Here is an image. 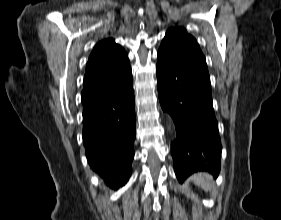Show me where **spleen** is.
Returning a JSON list of instances; mask_svg holds the SVG:
<instances>
[{
    "mask_svg": "<svg viewBox=\"0 0 281 220\" xmlns=\"http://www.w3.org/2000/svg\"><path fill=\"white\" fill-rule=\"evenodd\" d=\"M194 184L200 186L205 191H212L214 185L212 183V178L208 173H196L191 177Z\"/></svg>",
    "mask_w": 281,
    "mask_h": 220,
    "instance_id": "spleen-1",
    "label": "spleen"
}]
</instances>
